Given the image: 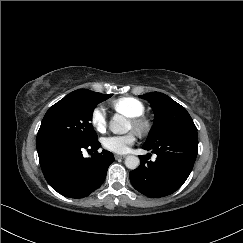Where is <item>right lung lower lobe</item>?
Returning <instances> with one entry per match:
<instances>
[{
  "label": "right lung lower lobe",
  "mask_w": 243,
  "mask_h": 243,
  "mask_svg": "<svg viewBox=\"0 0 243 243\" xmlns=\"http://www.w3.org/2000/svg\"><path fill=\"white\" fill-rule=\"evenodd\" d=\"M100 143L81 144L67 140H50L37 144L42 172L49 185L58 193L70 198H83L99 188L114 161L113 154L103 150ZM91 148L95 153L84 158L82 150Z\"/></svg>",
  "instance_id": "right-lung-lower-lobe-1"
}]
</instances>
